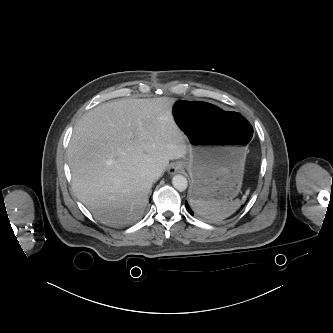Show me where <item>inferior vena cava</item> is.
<instances>
[{"instance_id":"obj_1","label":"inferior vena cava","mask_w":333,"mask_h":333,"mask_svg":"<svg viewBox=\"0 0 333 333\" xmlns=\"http://www.w3.org/2000/svg\"><path fill=\"white\" fill-rule=\"evenodd\" d=\"M161 175V172L154 171V170H146L141 174L142 178H146L149 180H155Z\"/></svg>"}]
</instances>
